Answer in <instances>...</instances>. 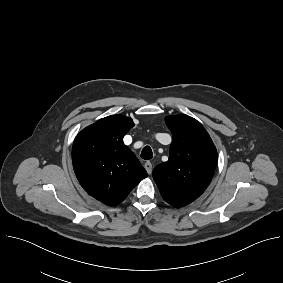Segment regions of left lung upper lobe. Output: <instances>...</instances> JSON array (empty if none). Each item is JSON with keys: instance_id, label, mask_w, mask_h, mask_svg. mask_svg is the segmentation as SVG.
I'll use <instances>...</instances> for the list:
<instances>
[{"instance_id": "1", "label": "left lung upper lobe", "mask_w": 283, "mask_h": 283, "mask_svg": "<svg viewBox=\"0 0 283 283\" xmlns=\"http://www.w3.org/2000/svg\"><path fill=\"white\" fill-rule=\"evenodd\" d=\"M172 132L170 156L157 165L153 178L163 199L183 207L197 199L212 180L217 151L204 127L185 114L166 118Z\"/></svg>"}]
</instances>
